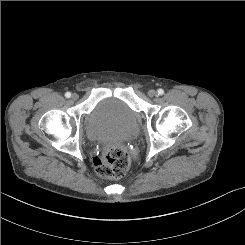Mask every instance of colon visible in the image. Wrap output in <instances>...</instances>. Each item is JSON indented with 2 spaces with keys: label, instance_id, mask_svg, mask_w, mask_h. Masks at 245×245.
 I'll return each instance as SVG.
<instances>
[{
  "label": "colon",
  "instance_id": "5ec220e1",
  "mask_svg": "<svg viewBox=\"0 0 245 245\" xmlns=\"http://www.w3.org/2000/svg\"><path fill=\"white\" fill-rule=\"evenodd\" d=\"M95 171L102 177L118 179L123 177L130 167V157L126 149L114 144L107 147L93 160Z\"/></svg>",
  "mask_w": 245,
  "mask_h": 245
}]
</instances>
